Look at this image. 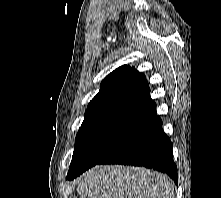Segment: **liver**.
<instances>
[{
    "instance_id": "liver-1",
    "label": "liver",
    "mask_w": 221,
    "mask_h": 198,
    "mask_svg": "<svg viewBox=\"0 0 221 198\" xmlns=\"http://www.w3.org/2000/svg\"><path fill=\"white\" fill-rule=\"evenodd\" d=\"M80 198H175L174 184L143 167L99 165L78 180Z\"/></svg>"
}]
</instances>
